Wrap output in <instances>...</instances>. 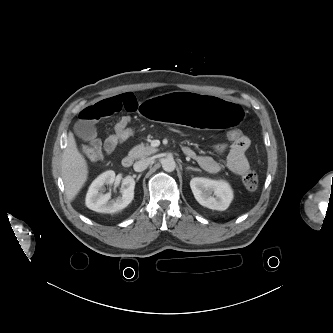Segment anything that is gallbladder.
Masks as SVG:
<instances>
[{
	"mask_svg": "<svg viewBox=\"0 0 333 333\" xmlns=\"http://www.w3.org/2000/svg\"><path fill=\"white\" fill-rule=\"evenodd\" d=\"M74 132L80 138L92 136L95 132L94 126L86 122H78L74 125Z\"/></svg>",
	"mask_w": 333,
	"mask_h": 333,
	"instance_id": "1",
	"label": "gallbladder"
}]
</instances>
